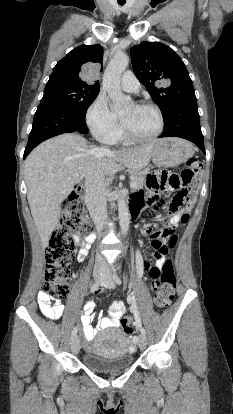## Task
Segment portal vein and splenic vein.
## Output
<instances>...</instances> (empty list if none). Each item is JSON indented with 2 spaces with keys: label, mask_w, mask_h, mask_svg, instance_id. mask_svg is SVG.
<instances>
[{
  "label": "portal vein and splenic vein",
  "mask_w": 233,
  "mask_h": 414,
  "mask_svg": "<svg viewBox=\"0 0 233 414\" xmlns=\"http://www.w3.org/2000/svg\"><path fill=\"white\" fill-rule=\"evenodd\" d=\"M135 185L134 183H130V187L133 188Z\"/></svg>",
  "instance_id": "obj_1"
}]
</instances>
